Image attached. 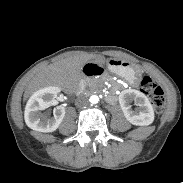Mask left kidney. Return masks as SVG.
Here are the masks:
<instances>
[{
	"label": "left kidney",
	"mask_w": 183,
	"mask_h": 183,
	"mask_svg": "<svg viewBox=\"0 0 183 183\" xmlns=\"http://www.w3.org/2000/svg\"><path fill=\"white\" fill-rule=\"evenodd\" d=\"M134 101L138 111H133L130 103ZM119 104L125 118L133 125L147 126L154 121V110L148 98L140 91L126 89L119 95Z\"/></svg>",
	"instance_id": "left-kidney-1"
}]
</instances>
